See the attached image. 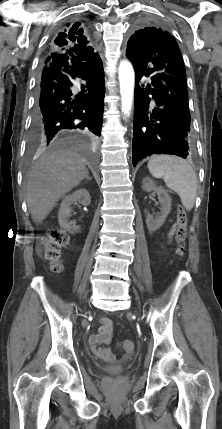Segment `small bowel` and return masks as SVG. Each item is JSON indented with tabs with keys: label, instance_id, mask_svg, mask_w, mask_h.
<instances>
[{
	"label": "small bowel",
	"instance_id": "c3829d8e",
	"mask_svg": "<svg viewBox=\"0 0 222 429\" xmlns=\"http://www.w3.org/2000/svg\"><path fill=\"white\" fill-rule=\"evenodd\" d=\"M176 226L177 224H174L170 230L169 237H172L174 234ZM100 322L101 326L99 330L89 337V346L95 356L101 360L113 362L116 359L115 354L110 348L106 347L112 341V322L106 317L102 318Z\"/></svg>",
	"mask_w": 222,
	"mask_h": 429
}]
</instances>
